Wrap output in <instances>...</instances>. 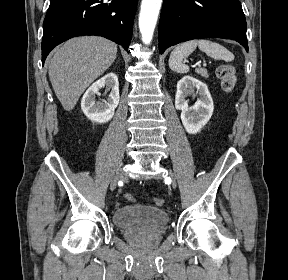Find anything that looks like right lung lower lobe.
Returning <instances> with one entry per match:
<instances>
[{"label":"right lung lower lobe","instance_id":"right-lung-lower-lobe-1","mask_svg":"<svg viewBox=\"0 0 288 280\" xmlns=\"http://www.w3.org/2000/svg\"><path fill=\"white\" fill-rule=\"evenodd\" d=\"M138 0H51L43 23L42 64L51 50L72 37L102 36L125 50L132 37Z\"/></svg>","mask_w":288,"mask_h":280}]
</instances>
